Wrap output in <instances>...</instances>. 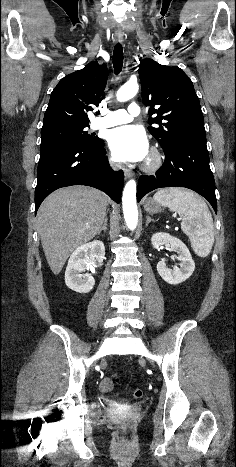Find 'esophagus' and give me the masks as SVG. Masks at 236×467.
I'll use <instances>...</instances> for the list:
<instances>
[{
	"label": "esophagus",
	"instance_id": "obj_1",
	"mask_svg": "<svg viewBox=\"0 0 236 467\" xmlns=\"http://www.w3.org/2000/svg\"><path fill=\"white\" fill-rule=\"evenodd\" d=\"M116 40L121 43L123 41V38L122 37H117ZM123 171H124V176H125L126 179L133 176V172L130 169L124 168Z\"/></svg>",
	"mask_w": 236,
	"mask_h": 467
}]
</instances>
